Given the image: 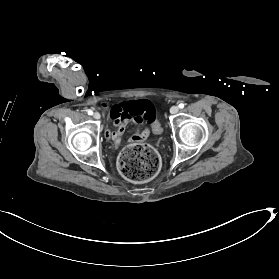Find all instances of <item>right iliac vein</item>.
Here are the masks:
<instances>
[{"instance_id": "1", "label": "right iliac vein", "mask_w": 279, "mask_h": 279, "mask_svg": "<svg viewBox=\"0 0 279 279\" xmlns=\"http://www.w3.org/2000/svg\"><path fill=\"white\" fill-rule=\"evenodd\" d=\"M93 117L98 120V119H100V114L98 112H95L93 114Z\"/></svg>"}]
</instances>
